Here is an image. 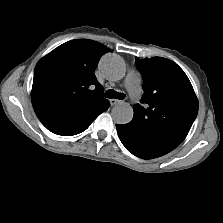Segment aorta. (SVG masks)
<instances>
[{
	"mask_svg": "<svg viewBox=\"0 0 223 223\" xmlns=\"http://www.w3.org/2000/svg\"><path fill=\"white\" fill-rule=\"evenodd\" d=\"M103 75L112 81L120 80L125 75L124 61L115 54H106L99 63ZM133 108L126 102L116 104L111 111L112 119L115 123L124 125L133 118Z\"/></svg>",
	"mask_w": 223,
	"mask_h": 223,
	"instance_id": "762f6f07",
	"label": "aorta"
}]
</instances>
